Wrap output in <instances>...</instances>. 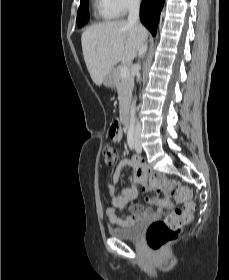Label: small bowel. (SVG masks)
<instances>
[{
    "mask_svg": "<svg viewBox=\"0 0 229 280\" xmlns=\"http://www.w3.org/2000/svg\"><path fill=\"white\" fill-rule=\"evenodd\" d=\"M113 143L118 144L122 140V131L118 130L111 135ZM126 168H130L129 180L132 184L121 191L120 194L114 195V186L108 185L107 191L111 195L112 206L107 208L106 215L110 223L119 228L129 227L135 224L139 220L148 219L154 215H160L165 208L171 206V202L166 197V193H163L159 189H155L156 195L148 200L150 204L155 205V209L149 207H143L140 204L134 203L129 208V214L125 217H121L117 214V209H123L131 200L135 199L138 194V184L142 183L146 185L147 178L151 176L147 168L143 164L142 160L136 157L124 158L116 166L113 180L118 182ZM164 194L165 197H162Z\"/></svg>",
    "mask_w": 229,
    "mask_h": 280,
    "instance_id": "1",
    "label": "small bowel"
}]
</instances>
